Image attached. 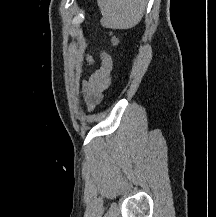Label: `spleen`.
I'll return each mask as SVG.
<instances>
[{"instance_id": "spleen-1", "label": "spleen", "mask_w": 216, "mask_h": 217, "mask_svg": "<svg viewBox=\"0 0 216 217\" xmlns=\"http://www.w3.org/2000/svg\"><path fill=\"white\" fill-rule=\"evenodd\" d=\"M101 24L112 29H129L141 20L147 0H97Z\"/></svg>"}]
</instances>
